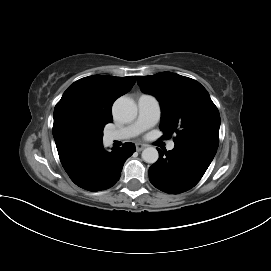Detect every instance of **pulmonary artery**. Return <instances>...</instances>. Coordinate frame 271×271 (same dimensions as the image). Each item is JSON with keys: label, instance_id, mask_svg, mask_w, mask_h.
Returning a JSON list of instances; mask_svg holds the SVG:
<instances>
[{"label": "pulmonary artery", "instance_id": "e3ab8cb5", "mask_svg": "<svg viewBox=\"0 0 271 271\" xmlns=\"http://www.w3.org/2000/svg\"><path fill=\"white\" fill-rule=\"evenodd\" d=\"M138 117L132 124L123 128L110 131L106 134V139L110 142L124 140L137 136L141 132L155 125L160 118V105L156 97L149 94H142L137 101ZM175 146L173 141L167 145L168 150Z\"/></svg>", "mask_w": 271, "mask_h": 271}]
</instances>
